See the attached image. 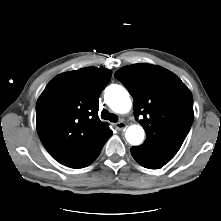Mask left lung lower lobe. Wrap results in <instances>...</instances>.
<instances>
[{"instance_id":"1","label":"left lung lower lobe","mask_w":221,"mask_h":221,"mask_svg":"<svg viewBox=\"0 0 221 221\" xmlns=\"http://www.w3.org/2000/svg\"><path fill=\"white\" fill-rule=\"evenodd\" d=\"M131 154L140 165L149 169L162 168L175 156L145 142L140 146L132 147Z\"/></svg>"}]
</instances>
